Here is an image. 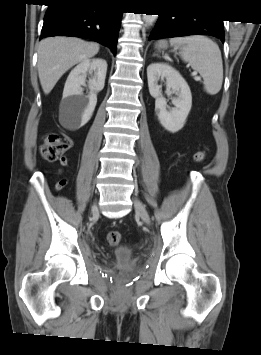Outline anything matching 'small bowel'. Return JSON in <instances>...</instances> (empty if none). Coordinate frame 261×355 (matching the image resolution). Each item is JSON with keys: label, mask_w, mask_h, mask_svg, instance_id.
Masks as SVG:
<instances>
[{"label": "small bowel", "mask_w": 261, "mask_h": 355, "mask_svg": "<svg viewBox=\"0 0 261 355\" xmlns=\"http://www.w3.org/2000/svg\"><path fill=\"white\" fill-rule=\"evenodd\" d=\"M61 163L63 164V165H67V158H62L61 159Z\"/></svg>", "instance_id": "obj_1"}]
</instances>
